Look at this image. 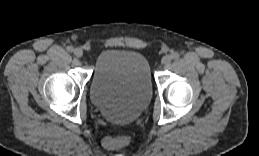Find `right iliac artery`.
Segmentation results:
<instances>
[{
    "mask_svg": "<svg viewBox=\"0 0 259 156\" xmlns=\"http://www.w3.org/2000/svg\"><path fill=\"white\" fill-rule=\"evenodd\" d=\"M66 49H67L68 52H73L74 51V48L72 46H68Z\"/></svg>",
    "mask_w": 259,
    "mask_h": 156,
    "instance_id": "obj_1",
    "label": "right iliac artery"
}]
</instances>
